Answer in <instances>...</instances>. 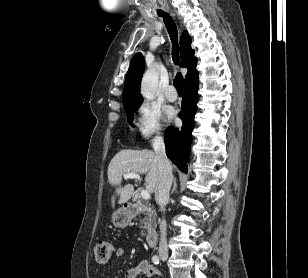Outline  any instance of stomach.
<instances>
[{
	"mask_svg": "<svg viewBox=\"0 0 308 278\" xmlns=\"http://www.w3.org/2000/svg\"><path fill=\"white\" fill-rule=\"evenodd\" d=\"M131 219L130 211L127 208H120L112 214V223L114 226L123 228L128 225Z\"/></svg>",
	"mask_w": 308,
	"mask_h": 278,
	"instance_id": "obj_1",
	"label": "stomach"
}]
</instances>
